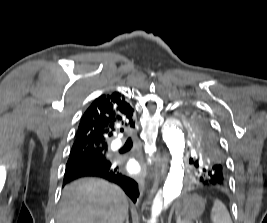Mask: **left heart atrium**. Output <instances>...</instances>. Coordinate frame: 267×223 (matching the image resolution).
<instances>
[{
    "label": "left heart atrium",
    "mask_w": 267,
    "mask_h": 223,
    "mask_svg": "<svg viewBox=\"0 0 267 223\" xmlns=\"http://www.w3.org/2000/svg\"><path fill=\"white\" fill-rule=\"evenodd\" d=\"M128 169L131 173H139L142 170V164L135 160L129 163Z\"/></svg>",
    "instance_id": "obj_1"
}]
</instances>
